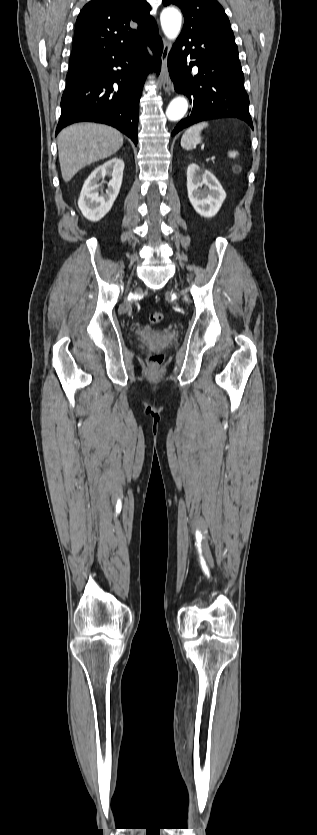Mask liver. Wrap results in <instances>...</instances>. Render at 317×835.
I'll return each instance as SVG.
<instances>
[{
  "instance_id": "liver-1",
  "label": "liver",
  "mask_w": 317,
  "mask_h": 835,
  "mask_svg": "<svg viewBox=\"0 0 317 835\" xmlns=\"http://www.w3.org/2000/svg\"><path fill=\"white\" fill-rule=\"evenodd\" d=\"M57 145L62 178L68 182L81 168L116 153L123 136L103 124H74L59 133Z\"/></svg>"
}]
</instances>
